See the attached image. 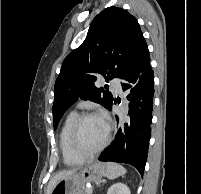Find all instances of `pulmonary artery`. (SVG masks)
Returning <instances> with one entry per match:
<instances>
[{
    "mask_svg": "<svg viewBox=\"0 0 201 194\" xmlns=\"http://www.w3.org/2000/svg\"><path fill=\"white\" fill-rule=\"evenodd\" d=\"M112 87L115 89L117 93L122 92V85L119 78H114L111 82Z\"/></svg>",
    "mask_w": 201,
    "mask_h": 194,
    "instance_id": "pulmonary-artery-1",
    "label": "pulmonary artery"
}]
</instances>
